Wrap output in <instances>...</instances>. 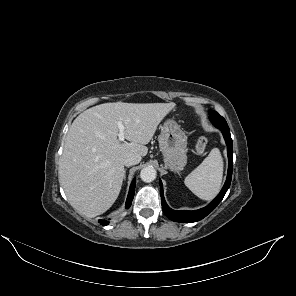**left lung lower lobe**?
Instances as JSON below:
<instances>
[{
  "label": "left lung lower lobe",
  "instance_id": "left-lung-lower-lobe-1",
  "mask_svg": "<svg viewBox=\"0 0 296 296\" xmlns=\"http://www.w3.org/2000/svg\"><path fill=\"white\" fill-rule=\"evenodd\" d=\"M214 125L222 131L225 142L227 144L229 166H228V175H227L225 185L223 186L218 196L206 207L201 208L199 210H195V211H175L169 208V206L166 204L164 199V194H163L162 182L160 181L162 209L165 215L172 221L192 223V222H197L203 219L211 211H213L215 207L221 202V200L223 199L225 193L227 192L230 186L231 178H232V166H233V143L230 135V130L227 124H214Z\"/></svg>",
  "mask_w": 296,
  "mask_h": 296
}]
</instances>
